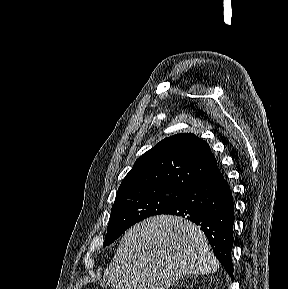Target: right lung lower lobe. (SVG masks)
I'll return each mask as SVG.
<instances>
[{
	"instance_id": "1",
	"label": "right lung lower lobe",
	"mask_w": 288,
	"mask_h": 289,
	"mask_svg": "<svg viewBox=\"0 0 288 289\" xmlns=\"http://www.w3.org/2000/svg\"><path fill=\"white\" fill-rule=\"evenodd\" d=\"M163 214L186 217L201 226L211 247L233 279L234 202L228 182L218 166L185 190L182 198Z\"/></svg>"
}]
</instances>
